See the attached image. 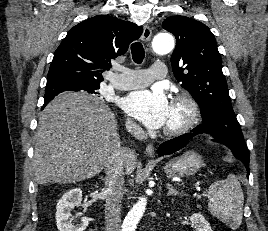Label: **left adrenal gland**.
<instances>
[{"label": "left adrenal gland", "mask_w": 268, "mask_h": 231, "mask_svg": "<svg viewBox=\"0 0 268 231\" xmlns=\"http://www.w3.org/2000/svg\"><path fill=\"white\" fill-rule=\"evenodd\" d=\"M167 189H168V196L177 195L179 192L169 183H167Z\"/></svg>", "instance_id": "obj_1"}]
</instances>
